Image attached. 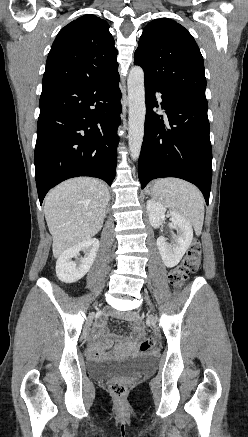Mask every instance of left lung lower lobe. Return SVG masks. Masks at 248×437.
I'll use <instances>...</instances> for the list:
<instances>
[{
  "label": "left lung lower lobe",
  "instance_id": "0a47b994",
  "mask_svg": "<svg viewBox=\"0 0 248 437\" xmlns=\"http://www.w3.org/2000/svg\"><path fill=\"white\" fill-rule=\"evenodd\" d=\"M155 91L162 93L167 119L153 111ZM145 133L138 163L141 187L161 177H177L195 184L206 203L212 180V148L207 100L167 93L145 80Z\"/></svg>",
  "mask_w": 248,
  "mask_h": 437
}]
</instances>
